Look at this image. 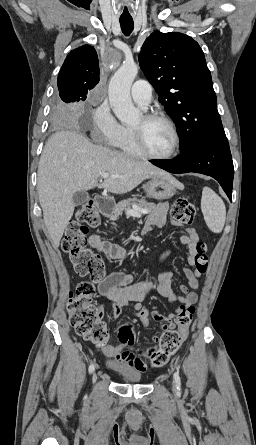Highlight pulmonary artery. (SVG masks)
Returning <instances> with one entry per match:
<instances>
[{
    "label": "pulmonary artery",
    "instance_id": "e3ab8cb5",
    "mask_svg": "<svg viewBox=\"0 0 256 445\" xmlns=\"http://www.w3.org/2000/svg\"><path fill=\"white\" fill-rule=\"evenodd\" d=\"M131 96L137 105L146 108L152 98L151 85L145 80L136 81L131 88Z\"/></svg>",
    "mask_w": 256,
    "mask_h": 445
}]
</instances>
